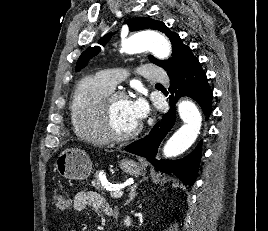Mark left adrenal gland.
Returning a JSON list of instances; mask_svg holds the SVG:
<instances>
[{
	"label": "left adrenal gland",
	"instance_id": "left-adrenal-gland-1",
	"mask_svg": "<svg viewBox=\"0 0 268 231\" xmlns=\"http://www.w3.org/2000/svg\"><path fill=\"white\" fill-rule=\"evenodd\" d=\"M137 186L138 184H134L133 186L130 187V192H129V198L128 200L126 201L125 205L129 204L134 198L135 196L137 195L136 193V189H137Z\"/></svg>",
	"mask_w": 268,
	"mask_h": 231
}]
</instances>
